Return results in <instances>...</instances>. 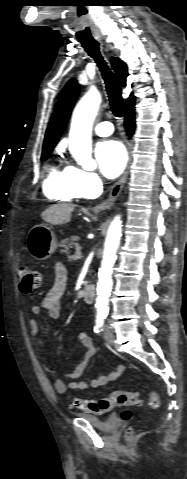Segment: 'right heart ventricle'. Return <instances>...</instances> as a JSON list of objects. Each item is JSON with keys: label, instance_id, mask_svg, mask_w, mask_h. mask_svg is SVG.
Returning <instances> with one entry per match:
<instances>
[{"label": "right heart ventricle", "instance_id": "right-heart-ventricle-1", "mask_svg": "<svg viewBox=\"0 0 187 479\" xmlns=\"http://www.w3.org/2000/svg\"><path fill=\"white\" fill-rule=\"evenodd\" d=\"M43 192L49 199L69 202L80 197L76 189L70 167H60L53 163L46 169Z\"/></svg>", "mask_w": 187, "mask_h": 479}]
</instances>
